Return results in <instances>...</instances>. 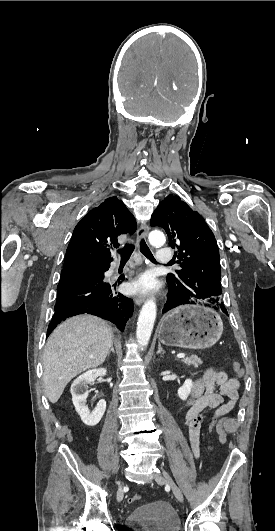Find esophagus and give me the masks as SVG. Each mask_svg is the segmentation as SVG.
<instances>
[{"label": "esophagus", "mask_w": 275, "mask_h": 531, "mask_svg": "<svg viewBox=\"0 0 275 531\" xmlns=\"http://www.w3.org/2000/svg\"><path fill=\"white\" fill-rule=\"evenodd\" d=\"M149 233V227L146 223L142 224L137 230V243L140 244L142 238L146 237ZM145 295L137 294L134 301L137 305L142 304L145 301Z\"/></svg>", "instance_id": "esophagus-1"}]
</instances>
